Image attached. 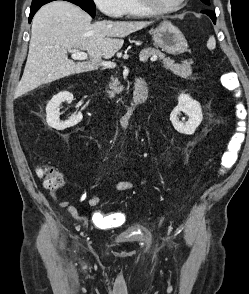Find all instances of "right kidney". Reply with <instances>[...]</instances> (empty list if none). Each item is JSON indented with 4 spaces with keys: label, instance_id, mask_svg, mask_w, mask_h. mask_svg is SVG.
Here are the masks:
<instances>
[{
    "label": "right kidney",
    "instance_id": "right-kidney-1",
    "mask_svg": "<svg viewBox=\"0 0 249 294\" xmlns=\"http://www.w3.org/2000/svg\"><path fill=\"white\" fill-rule=\"evenodd\" d=\"M73 100V94L70 92H60L57 95L53 96V98L48 102L46 106V121L47 124L56 129V130H64L66 128L72 127L76 124H78L83 116L82 113H77L70 119L66 121H61L59 119L60 116V105L62 102H68L71 103Z\"/></svg>",
    "mask_w": 249,
    "mask_h": 294
}]
</instances>
